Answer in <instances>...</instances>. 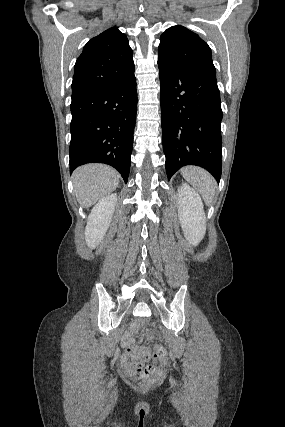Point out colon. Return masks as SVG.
Listing matches in <instances>:
<instances>
[{
  "label": "colon",
  "instance_id": "1",
  "mask_svg": "<svg viewBox=\"0 0 285 427\" xmlns=\"http://www.w3.org/2000/svg\"><path fill=\"white\" fill-rule=\"evenodd\" d=\"M146 323L147 321H145L144 319L138 318L135 322V325L143 326ZM129 356H141L144 360H149L150 358H152L153 361L159 364L160 366L166 365L169 360L166 349L160 345H155L149 349H144L141 351L130 350ZM134 370L145 386L151 387L155 386L158 383V379L156 377L157 368L155 367V365L137 362L134 365Z\"/></svg>",
  "mask_w": 285,
  "mask_h": 427
}]
</instances>
